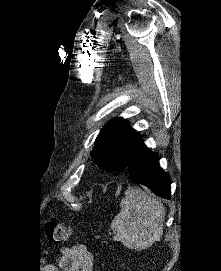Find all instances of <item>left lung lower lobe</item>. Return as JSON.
<instances>
[{
    "label": "left lung lower lobe",
    "instance_id": "1",
    "mask_svg": "<svg viewBox=\"0 0 221 271\" xmlns=\"http://www.w3.org/2000/svg\"><path fill=\"white\" fill-rule=\"evenodd\" d=\"M133 182L148 187L159 197L170 199V178L159 165V156L142 144L126 168Z\"/></svg>",
    "mask_w": 221,
    "mask_h": 271
}]
</instances>
